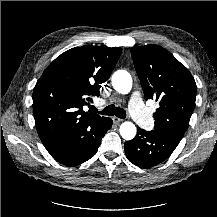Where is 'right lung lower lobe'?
<instances>
[{"label":"right lung lower lobe","instance_id":"98d812e1","mask_svg":"<svg viewBox=\"0 0 217 217\" xmlns=\"http://www.w3.org/2000/svg\"><path fill=\"white\" fill-rule=\"evenodd\" d=\"M112 126V119L105 117L79 139L59 146L47 148L50 155L61 164L75 166L92 158L104 134Z\"/></svg>","mask_w":217,"mask_h":217}]
</instances>
